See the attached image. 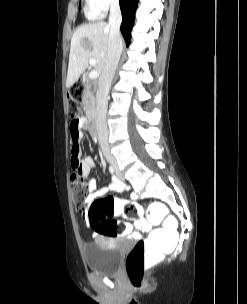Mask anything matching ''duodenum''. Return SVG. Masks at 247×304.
Instances as JSON below:
<instances>
[{"label": "duodenum", "mask_w": 247, "mask_h": 304, "mask_svg": "<svg viewBox=\"0 0 247 304\" xmlns=\"http://www.w3.org/2000/svg\"><path fill=\"white\" fill-rule=\"evenodd\" d=\"M85 89H88V86H85ZM89 127H91V131H90V136L91 138H94V141H97V137H98V131H97V126H96V119H90L89 121Z\"/></svg>", "instance_id": "410a0bca"}]
</instances>
